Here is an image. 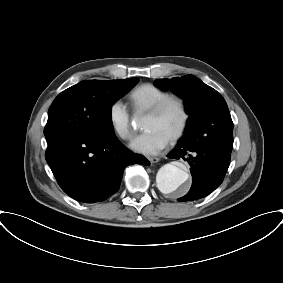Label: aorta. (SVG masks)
Wrapping results in <instances>:
<instances>
[{
    "instance_id": "762f6f07",
    "label": "aorta",
    "mask_w": 283,
    "mask_h": 283,
    "mask_svg": "<svg viewBox=\"0 0 283 283\" xmlns=\"http://www.w3.org/2000/svg\"><path fill=\"white\" fill-rule=\"evenodd\" d=\"M189 178L187 168L174 164L162 166L156 176L158 189L164 194H179Z\"/></svg>"
}]
</instances>
